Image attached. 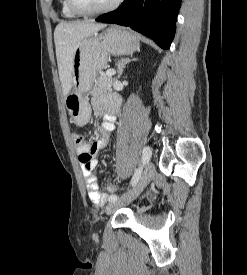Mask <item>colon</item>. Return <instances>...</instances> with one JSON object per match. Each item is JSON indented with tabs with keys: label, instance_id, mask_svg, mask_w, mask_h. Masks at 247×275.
<instances>
[{
	"label": "colon",
	"instance_id": "obj_1",
	"mask_svg": "<svg viewBox=\"0 0 247 275\" xmlns=\"http://www.w3.org/2000/svg\"><path fill=\"white\" fill-rule=\"evenodd\" d=\"M72 139H73V143L76 145V146H81L83 145L84 143V136L80 133H74L72 135ZM118 190V186L117 184L115 183H110L108 186H107V192L108 193H115L116 191Z\"/></svg>",
	"mask_w": 247,
	"mask_h": 275
}]
</instances>
